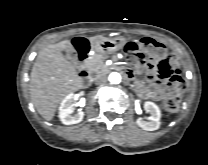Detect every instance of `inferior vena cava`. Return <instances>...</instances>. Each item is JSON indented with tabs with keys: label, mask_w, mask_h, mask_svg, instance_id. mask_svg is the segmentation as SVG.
I'll use <instances>...</instances> for the list:
<instances>
[{
	"label": "inferior vena cava",
	"mask_w": 208,
	"mask_h": 165,
	"mask_svg": "<svg viewBox=\"0 0 208 165\" xmlns=\"http://www.w3.org/2000/svg\"><path fill=\"white\" fill-rule=\"evenodd\" d=\"M96 84H105L107 82V78L104 75H98L95 80Z\"/></svg>",
	"instance_id": "602c4592"
}]
</instances>
